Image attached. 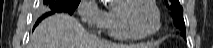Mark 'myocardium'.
Wrapping results in <instances>:
<instances>
[{
    "mask_svg": "<svg viewBox=\"0 0 213 48\" xmlns=\"http://www.w3.org/2000/svg\"><path fill=\"white\" fill-rule=\"evenodd\" d=\"M122 1H124V2L119 7V13H120L121 21H122L123 25L125 26V28L131 34H133L134 36H137L139 38H148V37H151V36L155 35L161 29V25H162V23H161V15H160L159 8L157 7V5H156V3L154 1H152V0H122ZM139 1H144L145 3L149 4L155 11L156 28L152 32L142 33L140 31H138L135 28V26L133 25V23L131 22L130 18H129L128 12H129L130 8L136 2H139Z\"/></svg>",
    "mask_w": 213,
    "mask_h": 48,
    "instance_id": "1",
    "label": "myocardium"
}]
</instances>
